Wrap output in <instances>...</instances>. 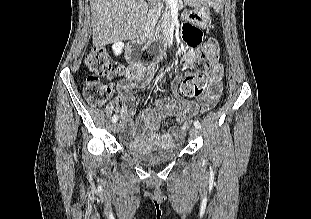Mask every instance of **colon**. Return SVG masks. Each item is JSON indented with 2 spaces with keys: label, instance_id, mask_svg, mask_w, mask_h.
Instances as JSON below:
<instances>
[{
  "label": "colon",
  "instance_id": "5ec220e1",
  "mask_svg": "<svg viewBox=\"0 0 311 219\" xmlns=\"http://www.w3.org/2000/svg\"><path fill=\"white\" fill-rule=\"evenodd\" d=\"M184 37L192 44H198L201 38L199 29L186 24L183 26ZM219 53L218 42L209 39L198 51L192 63L194 75L188 77L183 84L182 91L188 95L199 94L205 87L203 75L213 70L220 71L217 65ZM89 75L84 83L83 94L85 99L95 106H102L112 95L111 86L101 82L100 78H114L122 71L121 67L113 62L102 48H93L85 60Z\"/></svg>",
  "mask_w": 311,
  "mask_h": 219
}]
</instances>
